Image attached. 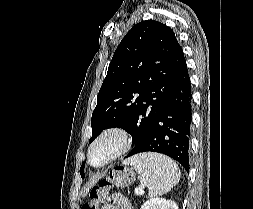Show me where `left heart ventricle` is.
<instances>
[{
  "label": "left heart ventricle",
  "instance_id": "1",
  "mask_svg": "<svg viewBox=\"0 0 253 209\" xmlns=\"http://www.w3.org/2000/svg\"><path fill=\"white\" fill-rule=\"evenodd\" d=\"M119 146V138L117 136H108L98 143L92 152V163L101 164L110 157Z\"/></svg>",
  "mask_w": 253,
  "mask_h": 209
}]
</instances>
